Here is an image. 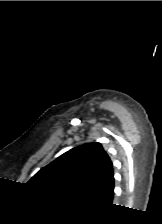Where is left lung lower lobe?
<instances>
[{"instance_id": "0a47b994", "label": "left lung lower lobe", "mask_w": 162, "mask_h": 224, "mask_svg": "<svg viewBox=\"0 0 162 224\" xmlns=\"http://www.w3.org/2000/svg\"><path fill=\"white\" fill-rule=\"evenodd\" d=\"M113 193L114 177L112 174L98 190L90 194L86 199L92 202L111 205L113 201Z\"/></svg>"}]
</instances>
